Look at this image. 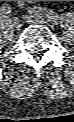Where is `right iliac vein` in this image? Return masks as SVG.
Listing matches in <instances>:
<instances>
[{"mask_svg": "<svg viewBox=\"0 0 74 122\" xmlns=\"http://www.w3.org/2000/svg\"><path fill=\"white\" fill-rule=\"evenodd\" d=\"M13 26H14L17 30H19V29L22 27V22H21V20L18 19V18H14V19H13Z\"/></svg>", "mask_w": 74, "mask_h": 122, "instance_id": "obj_1", "label": "right iliac vein"}]
</instances>
